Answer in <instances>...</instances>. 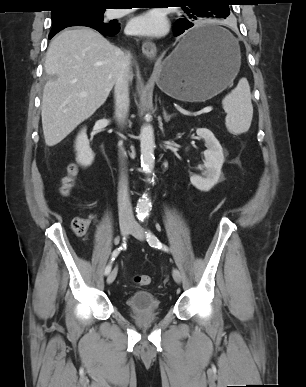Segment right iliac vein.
<instances>
[{
  "label": "right iliac vein",
  "mask_w": 306,
  "mask_h": 387,
  "mask_svg": "<svg viewBox=\"0 0 306 387\" xmlns=\"http://www.w3.org/2000/svg\"><path fill=\"white\" fill-rule=\"evenodd\" d=\"M132 228V224L129 222H121L120 223V231L123 236H127ZM117 276V269L114 268L107 277V283L111 284Z\"/></svg>",
  "instance_id": "right-iliac-vein-1"
}]
</instances>
